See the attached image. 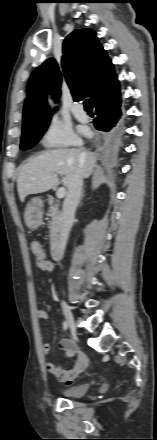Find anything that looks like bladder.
<instances>
[{
  "label": "bladder",
  "mask_w": 157,
  "mask_h": 440,
  "mask_svg": "<svg viewBox=\"0 0 157 440\" xmlns=\"http://www.w3.org/2000/svg\"><path fill=\"white\" fill-rule=\"evenodd\" d=\"M91 388L90 384H81L73 387H65L61 394L67 399H77L85 395Z\"/></svg>",
  "instance_id": "31cf9c89"
}]
</instances>
